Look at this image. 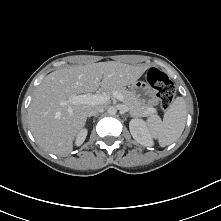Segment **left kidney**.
<instances>
[{
	"label": "left kidney",
	"mask_w": 221,
	"mask_h": 221,
	"mask_svg": "<svg viewBox=\"0 0 221 221\" xmlns=\"http://www.w3.org/2000/svg\"><path fill=\"white\" fill-rule=\"evenodd\" d=\"M129 129L132 137L143 146H152L154 144L146 123L138 118H134L129 123Z\"/></svg>",
	"instance_id": "1"
}]
</instances>
